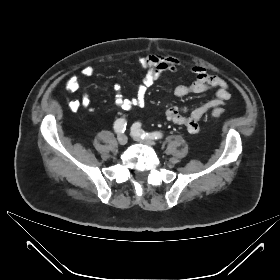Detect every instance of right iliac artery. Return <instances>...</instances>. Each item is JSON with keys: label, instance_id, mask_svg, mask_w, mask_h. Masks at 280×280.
Listing matches in <instances>:
<instances>
[{"label": "right iliac artery", "instance_id": "right-iliac-artery-1", "mask_svg": "<svg viewBox=\"0 0 280 280\" xmlns=\"http://www.w3.org/2000/svg\"><path fill=\"white\" fill-rule=\"evenodd\" d=\"M127 122L124 118L117 119L114 123V130L116 133H124Z\"/></svg>", "mask_w": 280, "mask_h": 280}]
</instances>
